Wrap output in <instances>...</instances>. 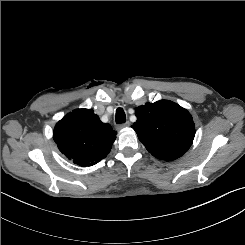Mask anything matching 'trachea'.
I'll return each instance as SVG.
<instances>
[{"label": "trachea", "instance_id": "trachea-1", "mask_svg": "<svg viewBox=\"0 0 245 245\" xmlns=\"http://www.w3.org/2000/svg\"><path fill=\"white\" fill-rule=\"evenodd\" d=\"M116 123L117 124H122V123H125L126 122V115H125V112L122 108H118L116 110Z\"/></svg>", "mask_w": 245, "mask_h": 245}]
</instances>
